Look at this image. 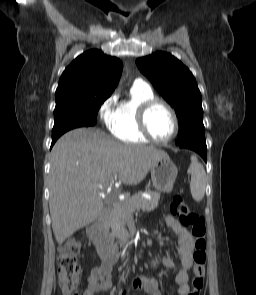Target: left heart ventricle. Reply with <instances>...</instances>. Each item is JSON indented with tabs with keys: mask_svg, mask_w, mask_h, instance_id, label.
I'll return each instance as SVG.
<instances>
[{
	"mask_svg": "<svg viewBox=\"0 0 256 295\" xmlns=\"http://www.w3.org/2000/svg\"><path fill=\"white\" fill-rule=\"evenodd\" d=\"M148 125L152 134L158 139L168 138L174 129L173 118L163 106H156L150 111Z\"/></svg>",
	"mask_w": 256,
	"mask_h": 295,
	"instance_id": "1",
	"label": "left heart ventricle"
}]
</instances>
